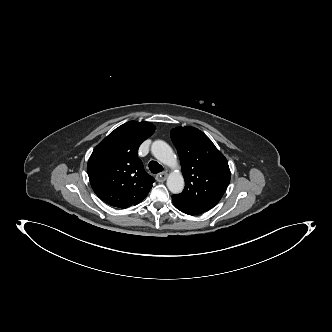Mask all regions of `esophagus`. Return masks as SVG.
<instances>
[{
	"mask_svg": "<svg viewBox=\"0 0 332 332\" xmlns=\"http://www.w3.org/2000/svg\"><path fill=\"white\" fill-rule=\"evenodd\" d=\"M168 173L162 172L159 175H157L156 179L158 182H164L167 179Z\"/></svg>",
	"mask_w": 332,
	"mask_h": 332,
	"instance_id": "obj_1",
	"label": "esophagus"
}]
</instances>
